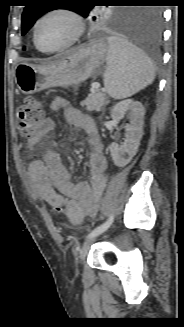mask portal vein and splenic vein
<instances>
[{
    "label": "portal vein and splenic vein",
    "mask_w": 184,
    "mask_h": 327,
    "mask_svg": "<svg viewBox=\"0 0 184 327\" xmlns=\"http://www.w3.org/2000/svg\"><path fill=\"white\" fill-rule=\"evenodd\" d=\"M100 88V84L99 83H93L92 84V89L91 91H95L96 89H99Z\"/></svg>",
    "instance_id": "18ae733b"
}]
</instances>
